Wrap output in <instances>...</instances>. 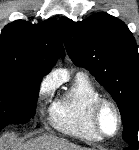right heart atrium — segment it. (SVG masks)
<instances>
[{
    "label": "right heart atrium",
    "instance_id": "right-heart-atrium-1",
    "mask_svg": "<svg viewBox=\"0 0 139 150\" xmlns=\"http://www.w3.org/2000/svg\"><path fill=\"white\" fill-rule=\"evenodd\" d=\"M50 91V84L47 82H44L41 86L40 92L41 94L45 95Z\"/></svg>",
    "mask_w": 139,
    "mask_h": 150
}]
</instances>
